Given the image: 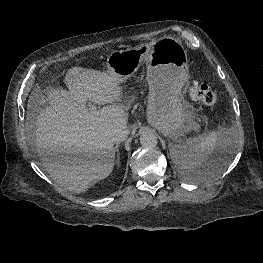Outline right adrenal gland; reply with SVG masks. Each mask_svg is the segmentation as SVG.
I'll list each match as a JSON object with an SVG mask.
<instances>
[{
  "instance_id": "2a0ac1e0",
  "label": "right adrenal gland",
  "mask_w": 263,
  "mask_h": 263,
  "mask_svg": "<svg viewBox=\"0 0 263 263\" xmlns=\"http://www.w3.org/2000/svg\"><path fill=\"white\" fill-rule=\"evenodd\" d=\"M115 151L117 152V160H116V164H120V152H119V145L115 146Z\"/></svg>"
}]
</instances>
